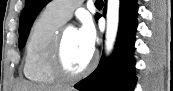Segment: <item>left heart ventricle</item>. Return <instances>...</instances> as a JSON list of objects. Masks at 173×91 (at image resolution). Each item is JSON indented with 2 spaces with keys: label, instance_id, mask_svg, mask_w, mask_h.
Listing matches in <instances>:
<instances>
[{
  "label": "left heart ventricle",
  "instance_id": "1",
  "mask_svg": "<svg viewBox=\"0 0 173 91\" xmlns=\"http://www.w3.org/2000/svg\"><path fill=\"white\" fill-rule=\"evenodd\" d=\"M92 52L86 50L79 42L77 30L69 27L65 33L63 57L66 66L72 72L82 70L90 61Z\"/></svg>",
  "mask_w": 173,
  "mask_h": 91
}]
</instances>
